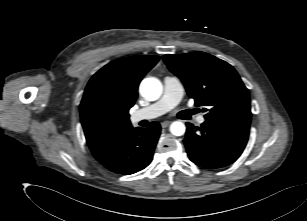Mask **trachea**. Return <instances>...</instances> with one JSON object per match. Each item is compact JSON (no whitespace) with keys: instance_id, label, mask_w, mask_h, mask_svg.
I'll return each instance as SVG.
<instances>
[{"instance_id":"trachea-1","label":"trachea","mask_w":307,"mask_h":221,"mask_svg":"<svg viewBox=\"0 0 307 221\" xmlns=\"http://www.w3.org/2000/svg\"><path fill=\"white\" fill-rule=\"evenodd\" d=\"M190 114H195V111H193V110H192V111H190Z\"/></svg>"}]
</instances>
